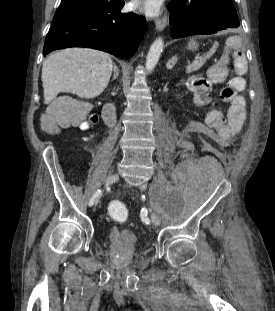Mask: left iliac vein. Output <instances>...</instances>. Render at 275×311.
<instances>
[{
  "label": "left iliac vein",
  "mask_w": 275,
  "mask_h": 311,
  "mask_svg": "<svg viewBox=\"0 0 275 311\" xmlns=\"http://www.w3.org/2000/svg\"><path fill=\"white\" fill-rule=\"evenodd\" d=\"M151 220H152V223H153L155 226L160 225V219H159L158 215H156L155 213H152V214H151Z\"/></svg>",
  "instance_id": "left-iliac-vein-1"
}]
</instances>
